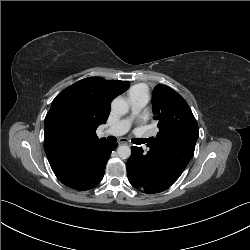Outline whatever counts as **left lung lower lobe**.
<instances>
[{
    "label": "left lung lower lobe",
    "instance_id": "0a47b994",
    "mask_svg": "<svg viewBox=\"0 0 250 250\" xmlns=\"http://www.w3.org/2000/svg\"><path fill=\"white\" fill-rule=\"evenodd\" d=\"M191 143L180 148L178 142L158 145L149 142L147 151L132 146V154L127 161L129 182L144 193L164 191L179 178L193 157L195 144Z\"/></svg>",
    "mask_w": 250,
    "mask_h": 250
}]
</instances>
